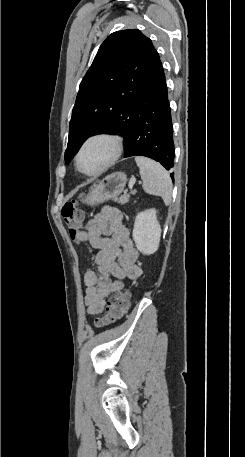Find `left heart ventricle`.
<instances>
[{"instance_id": "1", "label": "left heart ventricle", "mask_w": 245, "mask_h": 457, "mask_svg": "<svg viewBox=\"0 0 245 457\" xmlns=\"http://www.w3.org/2000/svg\"><path fill=\"white\" fill-rule=\"evenodd\" d=\"M106 143L102 141L93 142L81 158V166L84 170L92 172L99 169L107 160L109 151Z\"/></svg>"}]
</instances>
